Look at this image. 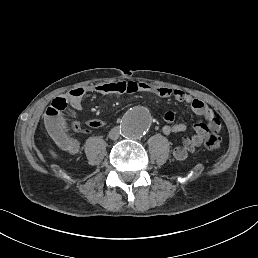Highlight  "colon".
Here are the masks:
<instances>
[{"mask_svg": "<svg viewBox=\"0 0 258 258\" xmlns=\"http://www.w3.org/2000/svg\"><path fill=\"white\" fill-rule=\"evenodd\" d=\"M204 146L209 150H218L221 146V138L217 132H209L204 139Z\"/></svg>", "mask_w": 258, "mask_h": 258, "instance_id": "1", "label": "colon"}]
</instances>
